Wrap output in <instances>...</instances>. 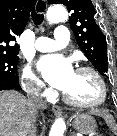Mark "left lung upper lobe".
Wrapping results in <instances>:
<instances>
[{
	"label": "left lung upper lobe",
	"mask_w": 117,
	"mask_h": 136,
	"mask_svg": "<svg viewBox=\"0 0 117 136\" xmlns=\"http://www.w3.org/2000/svg\"><path fill=\"white\" fill-rule=\"evenodd\" d=\"M48 2L62 3L72 11L69 18L70 27L79 47L100 74L107 77L106 37L95 22V9L91 0H48Z\"/></svg>",
	"instance_id": "left-lung-upper-lobe-1"
}]
</instances>
